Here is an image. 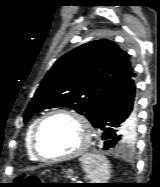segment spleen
<instances>
[{"label":"spleen","mask_w":160,"mask_h":187,"mask_svg":"<svg viewBox=\"0 0 160 187\" xmlns=\"http://www.w3.org/2000/svg\"><path fill=\"white\" fill-rule=\"evenodd\" d=\"M83 171L92 183H106L110 177V164L100 154H86L80 158Z\"/></svg>","instance_id":"1"}]
</instances>
